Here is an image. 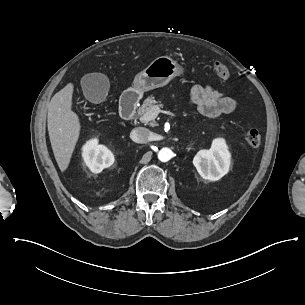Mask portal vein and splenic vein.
<instances>
[{"mask_svg":"<svg viewBox=\"0 0 305 305\" xmlns=\"http://www.w3.org/2000/svg\"><path fill=\"white\" fill-rule=\"evenodd\" d=\"M158 113H160V108L159 106L157 105H154L152 108H151V114L154 115V116H157ZM140 120L141 121H150L151 118L148 116V115H144L143 117H140Z\"/></svg>","mask_w":305,"mask_h":305,"instance_id":"obj_1","label":"portal vein and splenic vein"}]
</instances>
